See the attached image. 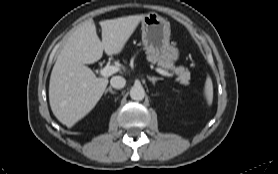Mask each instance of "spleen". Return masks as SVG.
<instances>
[{
    "label": "spleen",
    "mask_w": 278,
    "mask_h": 174,
    "mask_svg": "<svg viewBox=\"0 0 278 174\" xmlns=\"http://www.w3.org/2000/svg\"><path fill=\"white\" fill-rule=\"evenodd\" d=\"M204 94L206 96L208 104L211 105L213 101V83L209 76H207L205 81Z\"/></svg>",
    "instance_id": "obj_1"
}]
</instances>
